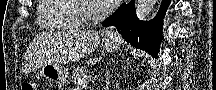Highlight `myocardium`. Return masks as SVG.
Masks as SVG:
<instances>
[{
    "label": "myocardium",
    "mask_w": 216,
    "mask_h": 90,
    "mask_svg": "<svg viewBox=\"0 0 216 90\" xmlns=\"http://www.w3.org/2000/svg\"><path fill=\"white\" fill-rule=\"evenodd\" d=\"M78 8V14L87 21V28H95L101 15H105L112 9L102 7L96 1H74Z\"/></svg>",
    "instance_id": "myocardium-1"
}]
</instances>
